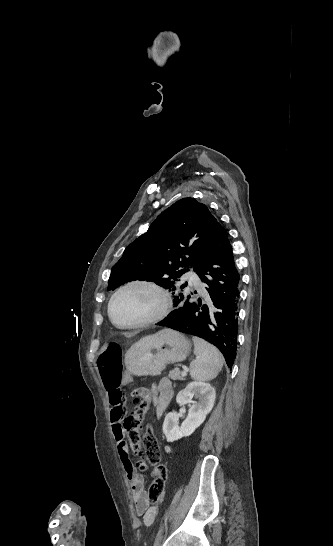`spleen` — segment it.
Here are the masks:
<instances>
[{
	"mask_svg": "<svg viewBox=\"0 0 333 546\" xmlns=\"http://www.w3.org/2000/svg\"><path fill=\"white\" fill-rule=\"evenodd\" d=\"M196 358L190 363V375L196 381H210L223 367V356L216 347L205 340L193 337Z\"/></svg>",
	"mask_w": 333,
	"mask_h": 546,
	"instance_id": "obj_1",
	"label": "spleen"
}]
</instances>
